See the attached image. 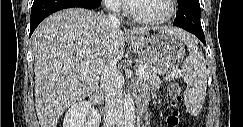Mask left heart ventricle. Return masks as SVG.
Listing matches in <instances>:
<instances>
[{
	"instance_id": "1",
	"label": "left heart ventricle",
	"mask_w": 243,
	"mask_h": 127,
	"mask_svg": "<svg viewBox=\"0 0 243 127\" xmlns=\"http://www.w3.org/2000/svg\"><path fill=\"white\" fill-rule=\"evenodd\" d=\"M134 5L137 14L142 17H160L168 11L166 0H137Z\"/></svg>"
}]
</instances>
